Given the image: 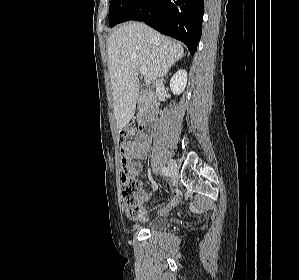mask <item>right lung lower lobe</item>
Instances as JSON below:
<instances>
[{"instance_id": "1", "label": "right lung lower lobe", "mask_w": 299, "mask_h": 280, "mask_svg": "<svg viewBox=\"0 0 299 280\" xmlns=\"http://www.w3.org/2000/svg\"><path fill=\"white\" fill-rule=\"evenodd\" d=\"M203 4L204 0H138L122 22L144 21L184 42L194 54L202 33Z\"/></svg>"}]
</instances>
